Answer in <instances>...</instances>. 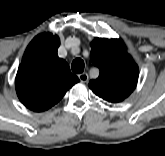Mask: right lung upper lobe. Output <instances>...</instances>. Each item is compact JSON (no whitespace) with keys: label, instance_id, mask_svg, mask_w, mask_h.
I'll list each match as a JSON object with an SVG mask.
<instances>
[{"label":"right lung upper lobe","instance_id":"right-lung-upper-lobe-1","mask_svg":"<svg viewBox=\"0 0 165 156\" xmlns=\"http://www.w3.org/2000/svg\"><path fill=\"white\" fill-rule=\"evenodd\" d=\"M59 45L57 35L43 33L36 36L25 51L15 87L20 101L32 111L48 110L79 82L67 62L58 57Z\"/></svg>","mask_w":165,"mask_h":156}]
</instances>
